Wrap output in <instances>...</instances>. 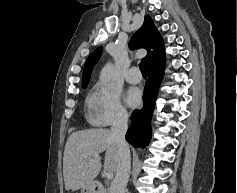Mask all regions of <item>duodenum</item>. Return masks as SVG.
Instances as JSON below:
<instances>
[{
    "label": "duodenum",
    "instance_id": "duodenum-1",
    "mask_svg": "<svg viewBox=\"0 0 237 193\" xmlns=\"http://www.w3.org/2000/svg\"><path fill=\"white\" fill-rule=\"evenodd\" d=\"M95 190H96L97 193H106L104 186L100 183H97L95 185Z\"/></svg>",
    "mask_w": 237,
    "mask_h": 193
}]
</instances>
